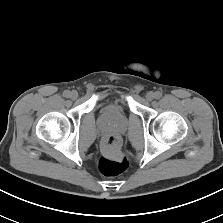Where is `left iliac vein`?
Here are the masks:
<instances>
[{
  "mask_svg": "<svg viewBox=\"0 0 223 223\" xmlns=\"http://www.w3.org/2000/svg\"><path fill=\"white\" fill-rule=\"evenodd\" d=\"M155 98V95H154V93L153 92H147V94H146V100L147 101H152L153 99Z\"/></svg>",
  "mask_w": 223,
  "mask_h": 223,
  "instance_id": "obj_1",
  "label": "left iliac vein"
}]
</instances>
